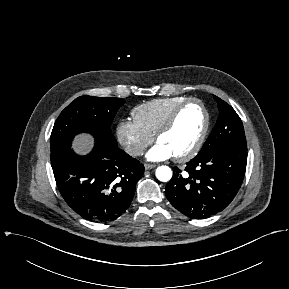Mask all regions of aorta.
I'll use <instances>...</instances> for the list:
<instances>
[{
    "label": "aorta",
    "instance_id": "762f6f07",
    "mask_svg": "<svg viewBox=\"0 0 289 289\" xmlns=\"http://www.w3.org/2000/svg\"><path fill=\"white\" fill-rule=\"evenodd\" d=\"M156 177L161 182H168L172 178V170L168 166H159L156 169Z\"/></svg>",
    "mask_w": 289,
    "mask_h": 289
}]
</instances>
